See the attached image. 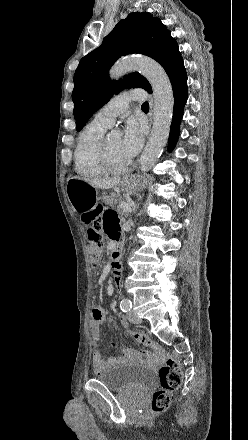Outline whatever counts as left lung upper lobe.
Masks as SVG:
<instances>
[{
	"instance_id": "5c2ea615",
	"label": "left lung upper lobe",
	"mask_w": 248,
	"mask_h": 440,
	"mask_svg": "<svg viewBox=\"0 0 248 440\" xmlns=\"http://www.w3.org/2000/svg\"><path fill=\"white\" fill-rule=\"evenodd\" d=\"M140 53L162 65L170 81L187 76L178 44L161 20L147 12H134L121 20L104 38L101 46L83 57L74 74V118L77 131L106 104L113 93L127 88H143L152 93L147 79L138 72L123 80L111 81L108 70L121 56Z\"/></svg>"
}]
</instances>
